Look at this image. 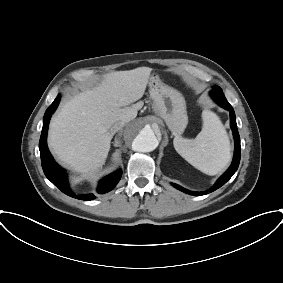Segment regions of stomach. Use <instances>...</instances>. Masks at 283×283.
I'll return each instance as SVG.
<instances>
[{
    "label": "stomach",
    "mask_w": 283,
    "mask_h": 283,
    "mask_svg": "<svg viewBox=\"0 0 283 283\" xmlns=\"http://www.w3.org/2000/svg\"><path fill=\"white\" fill-rule=\"evenodd\" d=\"M153 111L167 124L174 135L181 134L188 124L186 102L176 89L164 84L159 76H152L149 82Z\"/></svg>",
    "instance_id": "0dacf381"
}]
</instances>
